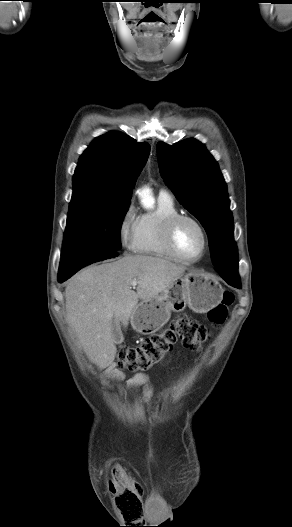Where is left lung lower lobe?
I'll return each instance as SVG.
<instances>
[{
	"mask_svg": "<svg viewBox=\"0 0 292 527\" xmlns=\"http://www.w3.org/2000/svg\"><path fill=\"white\" fill-rule=\"evenodd\" d=\"M217 272L229 285L238 289L241 288L238 270L230 268H218Z\"/></svg>",
	"mask_w": 292,
	"mask_h": 527,
	"instance_id": "left-lung-lower-lobe-1",
	"label": "left lung lower lobe"
}]
</instances>
